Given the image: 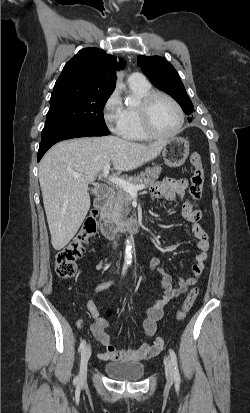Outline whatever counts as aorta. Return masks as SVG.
Instances as JSON below:
<instances>
[{
  "label": "aorta",
  "instance_id": "762f6f07",
  "mask_svg": "<svg viewBox=\"0 0 250 413\" xmlns=\"http://www.w3.org/2000/svg\"><path fill=\"white\" fill-rule=\"evenodd\" d=\"M122 73H118L117 74V87H122V83H121V78H122ZM133 241H132V237H128L125 241V257H124V261L125 264H131L132 263V247H133Z\"/></svg>",
  "mask_w": 250,
  "mask_h": 413
}]
</instances>
